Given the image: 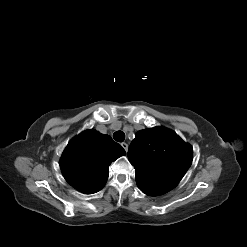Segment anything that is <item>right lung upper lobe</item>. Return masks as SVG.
Returning <instances> with one entry per match:
<instances>
[{"instance_id": "obj_1", "label": "right lung upper lobe", "mask_w": 247, "mask_h": 247, "mask_svg": "<svg viewBox=\"0 0 247 247\" xmlns=\"http://www.w3.org/2000/svg\"><path fill=\"white\" fill-rule=\"evenodd\" d=\"M122 155L125 150L110 136L87 130L68 143L59 164L69 184L92 194L105 185L111 162Z\"/></svg>"}]
</instances>
